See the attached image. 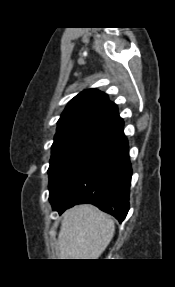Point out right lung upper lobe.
I'll return each instance as SVG.
<instances>
[{"instance_id": "1", "label": "right lung upper lobe", "mask_w": 175, "mask_h": 287, "mask_svg": "<svg viewBox=\"0 0 175 287\" xmlns=\"http://www.w3.org/2000/svg\"><path fill=\"white\" fill-rule=\"evenodd\" d=\"M117 106L96 89H87L75 96L57 122V131L85 125H107L117 128L123 124Z\"/></svg>"}]
</instances>
